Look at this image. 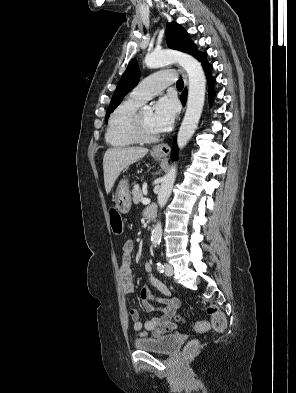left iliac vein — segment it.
I'll return each mask as SVG.
<instances>
[{
    "instance_id": "obj_1",
    "label": "left iliac vein",
    "mask_w": 296,
    "mask_h": 393,
    "mask_svg": "<svg viewBox=\"0 0 296 393\" xmlns=\"http://www.w3.org/2000/svg\"><path fill=\"white\" fill-rule=\"evenodd\" d=\"M165 275L167 276L173 275V267L168 263L165 264Z\"/></svg>"
}]
</instances>
